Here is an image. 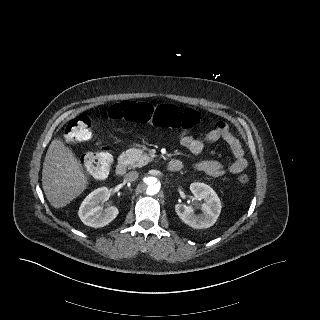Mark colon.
I'll return each mask as SVG.
<instances>
[{
    "instance_id": "colon-1",
    "label": "colon",
    "mask_w": 320,
    "mask_h": 320,
    "mask_svg": "<svg viewBox=\"0 0 320 320\" xmlns=\"http://www.w3.org/2000/svg\"><path fill=\"white\" fill-rule=\"evenodd\" d=\"M102 117L108 120L151 123L162 128L190 129L202 122L201 115L192 109L173 104L153 106L149 103L136 101H123L114 104L102 112ZM65 136L69 141L86 142L92 140L91 119L85 115L71 119L66 126ZM82 162L91 175L104 178L110 172L112 155L106 148H102L99 151L85 154ZM237 180L240 184H246L249 177L246 174H241Z\"/></svg>"
}]
</instances>
